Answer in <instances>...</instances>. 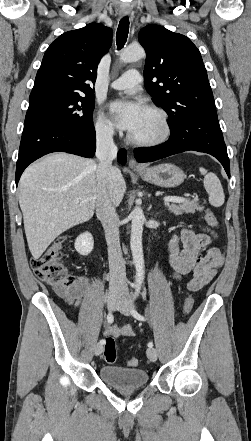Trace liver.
<instances>
[{"instance_id": "6515ba94", "label": "liver", "mask_w": 251, "mask_h": 441, "mask_svg": "<svg viewBox=\"0 0 251 441\" xmlns=\"http://www.w3.org/2000/svg\"><path fill=\"white\" fill-rule=\"evenodd\" d=\"M19 204L29 250L38 259L60 234L87 222L97 199V163L67 153H53L30 165L19 181ZM126 184L112 167L110 191L118 205Z\"/></svg>"}]
</instances>
